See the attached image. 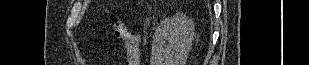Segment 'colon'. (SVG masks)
Wrapping results in <instances>:
<instances>
[{
    "instance_id": "5ec220e1",
    "label": "colon",
    "mask_w": 309,
    "mask_h": 65,
    "mask_svg": "<svg viewBox=\"0 0 309 65\" xmlns=\"http://www.w3.org/2000/svg\"><path fill=\"white\" fill-rule=\"evenodd\" d=\"M109 33L111 38L115 40L124 39L128 34L124 24L116 16H111Z\"/></svg>"
}]
</instances>
